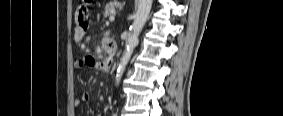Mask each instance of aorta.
<instances>
[{"instance_id":"762f6f07","label":"aorta","mask_w":283,"mask_h":116,"mask_svg":"<svg viewBox=\"0 0 283 116\" xmlns=\"http://www.w3.org/2000/svg\"><path fill=\"white\" fill-rule=\"evenodd\" d=\"M152 6V0H138L137 11L134 16V21L131 26V35L126 41V49L122 55L116 74V85L119 84L120 79L124 73L126 65L128 64L133 50L138 45V37L142 31Z\"/></svg>"}]
</instances>
